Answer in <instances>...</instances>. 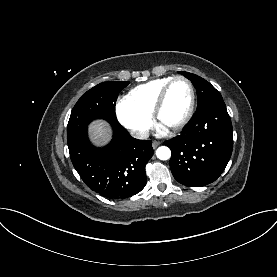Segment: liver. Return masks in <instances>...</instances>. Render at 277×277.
<instances>
[{"label": "liver", "mask_w": 277, "mask_h": 277, "mask_svg": "<svg viewBox=\"0 0 277 277\" xmlns=\"http://www.w3.org/2000/svg\"><path fill=\"white\" fill-rule=\"evenodd\" d=\"M91 138L97 144H105L110 140L111 133L106 122L97 120L90 124Z\"/></svg>", "instance_id": "liver-1"}]
</instances>
